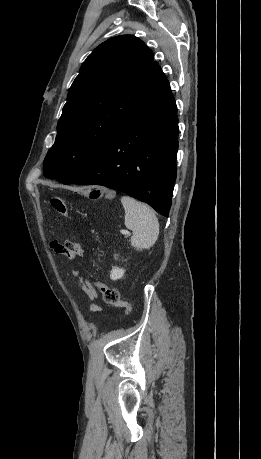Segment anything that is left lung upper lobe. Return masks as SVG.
<instances>
[{
  "instance_id": "1",
  "label": "left lung upper lobe",
  "mask_w": 261,
  "mask_h": 459,
  "mask_svg": "<svg viewBox=\"0 0 261 459\" xmlns=\"http://www.w3.org/2000/svg\"><path fill=\"white\" fill-rule=\"evenodd\" d=\"M165 79L137 37L121 35L100 44L70 87L44 176L63 182L93 161Z\"/></svg>"
}]
</instances>
